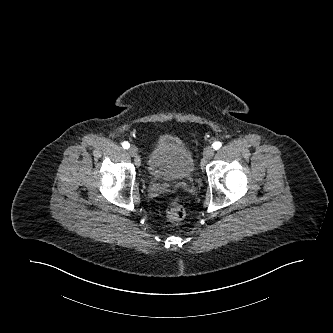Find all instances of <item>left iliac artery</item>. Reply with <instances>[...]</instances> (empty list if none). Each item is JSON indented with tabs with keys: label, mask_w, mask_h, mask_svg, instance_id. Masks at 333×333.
I'll list each match as a JSON object with an SVG mask.
<instances>
[{
	"label": "left iliac artery",
	"mask_w": 333,
	"mask_h": 333,
	"mask_svg": "<svg viewBox=\"0 0 333 333\" xmlns=\"http://www.w3.org/2000/svg\"><path fill=\"white\" fill-rule=\"evenodd\" d=\"M212 146L215 150H218L222 146V144H221V142L216 141V142L213 143Z\"/></svg>",
	"instance_id": "1"
}]
</instances>
